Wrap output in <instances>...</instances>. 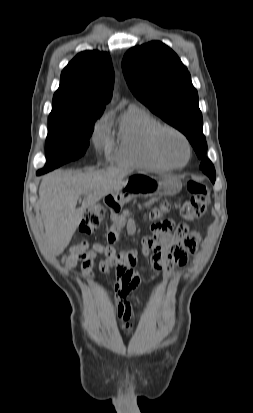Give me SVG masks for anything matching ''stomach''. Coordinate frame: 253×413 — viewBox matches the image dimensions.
<instances>
[{
  "instance_id": "0dacf381",
  "label": "stomach",
  "mask_w": 253,
  "mask_h": 413,
  "mask_svg": "<svg viewBox=\"0 0 253 413\" xmlns=\"http://www.w3.org/2000/svg\"><path fill=\"white\" fill-rule=\"evenodd\" d=\"M181 189L182 182L176 176L158 178L145 172H137L127 177L118 189L106 196L105 200L122 206L134 197L173 196Z\"/></svg>"
}]
</instances>
